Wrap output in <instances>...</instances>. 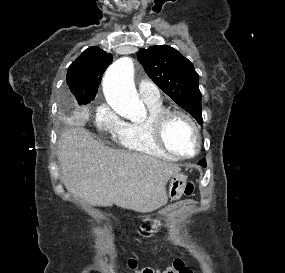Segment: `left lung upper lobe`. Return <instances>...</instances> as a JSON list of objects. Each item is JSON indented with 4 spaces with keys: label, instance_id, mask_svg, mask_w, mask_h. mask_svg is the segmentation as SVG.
Wrapping results in <instances>:
<instances>
[{
    "label": "left lung upper lobe",
    "instance_id": "left-lung-upper-lobe-1",
    "mask_svg": "<svg viewBox=\"0 0 285 273\" xmlns=\"http://www.w3.org/2000/svg\"><path fill=\"white\" fill-rule=\"evenodd\" d=\"M148 76L177 105L203 123L199 76L192 63L170 46H152L138 53Z\"/></svg>",
    "mask_w": 285,
    "mask_h": 273
}]
</instances>
